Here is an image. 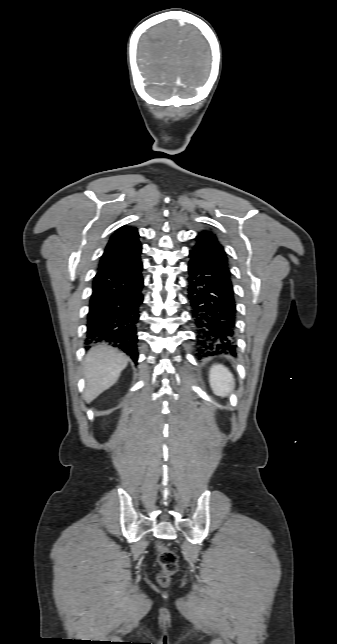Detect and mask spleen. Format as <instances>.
<instances>
[{"instance_id":"3e777b00","label":"spleen","mask_w":337,"mask_h":644,"mask_svg":"<svg viewBox=\"0 0 337 644\" xmlns=\"http://www.w3.org/2000/svg\"><path fill=\"white\" fill-rule=\"evenodd\" d=\"M209 383L213 392L226 397L235 388L233 374L223 365L214 364L209 371Z\"/></svg>"}]
</instances>
